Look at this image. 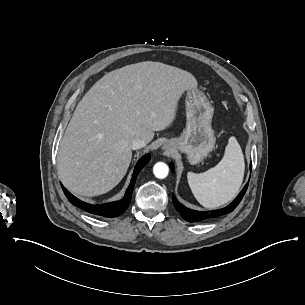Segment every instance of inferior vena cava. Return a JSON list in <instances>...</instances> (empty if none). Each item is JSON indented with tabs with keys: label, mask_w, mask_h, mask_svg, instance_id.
Returning <instances> with one entry per match:
<instances>
[{
	"label": "inferior vena cava",
	"mask_w": 305,
	"mask_h": 305,
	"mask_svg": "<svg viewBox=\"0 0 305 305\" xmlns=\"http://www.w3.org/2000/svg\"><path fill=\"white\" fill-rule=\"evenodd\" d=\"M146 145V141L143 138H135L131 143L130 147L134 150L142 148Z\"/></svg>",
	"instance_id": "inferior-vena-cava-1"
}]
</instances>
